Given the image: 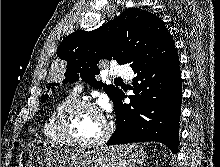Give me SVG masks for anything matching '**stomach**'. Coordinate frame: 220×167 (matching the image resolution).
Here are the masks:
<instances>
[{
	"mask_svg": "<svg viewBox=\"0 0 220 167\" xmlns=\"http://www.w3.org/2000/svg\"><path fill=\"white\" fill-rule=\"evenodd\" d=\"M145 153L136 144L96 150L65 149L32 142L19 154V167H139Z\"/></svg>",
	"mask_w": 220,
	"mask_h": 167,
	"instance_id": "stomach-1",
	"label": "stomach"
}]
</instances>
